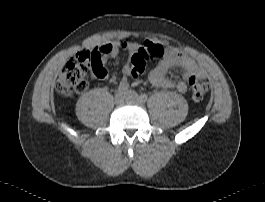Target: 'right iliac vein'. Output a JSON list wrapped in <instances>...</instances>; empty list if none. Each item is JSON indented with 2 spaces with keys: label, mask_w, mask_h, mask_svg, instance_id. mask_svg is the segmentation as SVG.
Listing matches in <instances>:
<instances>
[{
  "label": "right iliac vein",
  "mask_w": 265,
  "mask_h": 202,
  "mask_svg": "<svg viewBox=\"0 0 265 202\" xmlns=\"http://www.w3.org/2000/svg\"><path fill=\"white\" fill-rule=\"evenodd\" d=\"M127 100V96L124 93H117L115 95V101L119 104L124 103Z\"/></svg>",
  "instance_id": "1"
}]
</instances>
